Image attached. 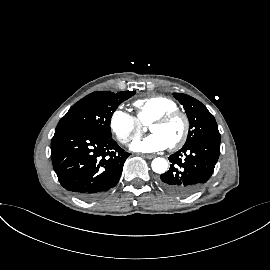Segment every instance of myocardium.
Wrapping results in <instances>:
<instances>
[{
	"mask_svg": "<svg viewBox=\"0 0 270 270\" xmlns=\"http://www.w3.org/2000/svg\"><path fill=\"white\" fill-rule=\"evenodd\" d=\"M177 117H179L183 120L184 128H183V132H182V135L180 136V138L175 143L168 146L170 150H177L185 144V142L189 136V131H190V121H189L188 116L184 112H182L178 109V110L168 111V112L160 115L159 117L155 118L151 122V125L165 124V123H167V122H169L172 119L177 118Z\"/></svg>",
	"mask_w": 270,
	"mask_h": 270,
	"instance_id": "1",
	"label": "myocardium"
}]
</instances>
